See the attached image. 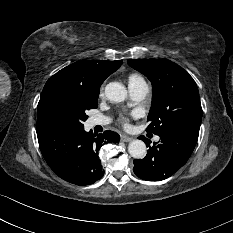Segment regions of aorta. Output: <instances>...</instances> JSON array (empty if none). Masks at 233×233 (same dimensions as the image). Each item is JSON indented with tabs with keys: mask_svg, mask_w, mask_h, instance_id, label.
I'll return each instance as SVG.
<instances>
[{
	"mask_svg": "<svg viewBox=\"0 0 233 233\" xmlns=\"http://www.w3.org/2000/svg\"><path fill=\"white\" fill-rule=\"evenodd\" d=\"M106 97L114 103H119L127 97V90L124 85L118 82H110L105 87ZM129 154L135 159H142L147 152L145 143L142 140H133L128 146Z\"/></svg>",
	"mask_w": 233,
	"mask_h": 233,
	"instance_id": "obj_1",
	"label": "aorta"
}]
</instances>
